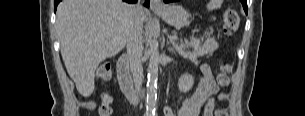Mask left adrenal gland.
Segmentation results:
<instances>
[{"mask_svg":"<svg viewBox=\"0 0 305 116\" xmlns=\"http://www.w3.org/2000/svg\"><path fill=\"white\" fill-rule=\"evenodd\" d=\"M171 43L175 46V43L173 41H171ZM167 44H169V42H167ZM168 50L172 53H176L174 48L169 47Z\"/></svg>","mask_w":305,"mask_h":116,"instance_id":"left-adrenal-gland-1","label":"left adrenal gland"}]
</instances>
